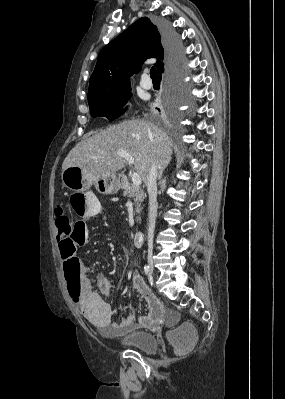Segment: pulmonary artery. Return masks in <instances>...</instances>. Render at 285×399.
I'll return each mask as SVG.
<instances>
[{"label":"pulmonary artery","mask_w":285,"mask_h":399,"mask_svg":"<svg viewBox=\"0 0 285 399\" xmlns=\"http://www.w3.org/2000/svg\"><path fill=\"white\" fill-rule=\"evenodd\" d=\"M140 86L143 89L149 90L152 87V81L149 79V76L147 74H145V76L142 78V80L140 81Z\"/></svg>","instance_id":"pulmonary-artery-1"}]
</instances>
